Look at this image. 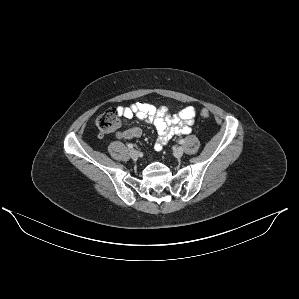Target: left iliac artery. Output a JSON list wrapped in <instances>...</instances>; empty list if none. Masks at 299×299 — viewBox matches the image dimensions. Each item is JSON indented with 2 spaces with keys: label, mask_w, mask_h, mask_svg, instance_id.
I'll list each match as a JSON object with an SVG mask.
<instances>
[{
  "label": "left iliac artery",
  "mask_w": 299,
  "mask_h": 299,
  "mask_svg": "<svg viewBox=\"0 0 299 299\" xmlns=\"http://www.w3.org/2000/svg\"><path fill=\"white\" fill-rule=\"evenodd\" d=\"M179 143H180V144H184V140L181 139V140L179 141Z\"/></svg>",
  "instance_id": "44dca946"
}]
</instances>
